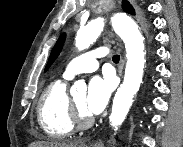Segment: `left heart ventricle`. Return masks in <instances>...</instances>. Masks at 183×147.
<instances>
[{
    "label": "left heart ventricle",
    "mask_w": 183,
    "mask_h": 147,
    "mask_svg": "<svg viewBox=\"0 0 183 147\" xmlns=\"http://www.w3.org/2000/svg\"><path fill=\"white\" fill-rule=\"evenodd\" d=\"M75 104L78 106V108L86 115H89L85 110V101H86V95L82 94L76 98L73 99Z\"/></svg>",
    "instance_id": "1"
}]
</instances>
